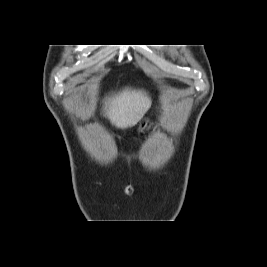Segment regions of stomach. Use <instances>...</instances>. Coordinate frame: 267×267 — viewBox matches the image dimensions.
<instances>
[{"label": "stomach", "instance_id": "0dacf381", "mask_svg": "<svg viewBox=\"0 0 267 267\" xmlns=\"http://www.w3.org/2000/svg\"><path fill=\"white\" fill-rule=\"evenodd\" d=\"M151 127V123L147 117H144L140 121V126L138 128V132H143L144 130H148Z\"/></svg>", "mask_w": 267, "mask_h": 267}]
</instances>
